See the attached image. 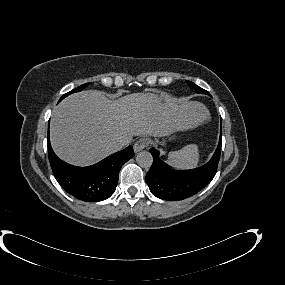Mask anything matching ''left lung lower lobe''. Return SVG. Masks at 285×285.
<instances>
[{
    "mask_svg": "<svg viewBox=\"0 0 285 285\" xmlns=\"http://www.w3.org/2000/svg\"><path fill=\"white\" fill-rule=\"evenodd\" d=\"M221 137L218 147L211 160L196 169L172 170L159 159V152L150 149L153 164L146 175V182L150 191L163 200H182L195 195L207 186L214 178L221 153Z\"/></svg>",
    "mask_w": 285,
    "mask_h": 285,
    "instance_id": "left-lung-lower-lobe-1",
    "label": "left lung lower lobe"
}]
</instances>
